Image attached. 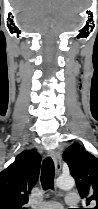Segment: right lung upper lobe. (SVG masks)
I'll use <instances>...</instances> for the list:
<instances>
[{
	"instance_id": "right-lung-upper-lobe-1",
	"label": "right lung upper lobe",
	"mask_w": 98,
	"mask_h": 209,
	"mask_svg": "<svg viewBox=\"0 0 98 209\" xmlns=\"http://www.w3.org/2000/svg\"><path fill=\"white\" fill-rule=\"evenodd\" d=\"M41 156L23 151L0 172V209H27L28 195L39 176Z\"/></svg>"
}]
</instances>
